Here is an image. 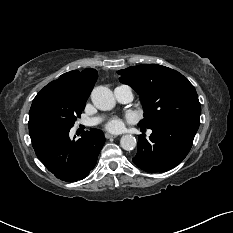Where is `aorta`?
<instances>
[{"label":"aorta","mask_w":233,"mask_h":233,"mask_svg":"<svg viewBox=\"0 0 233 233\" xmlns=\"http://www.w3.org/2000/svg\"><path fill=\"white\" fill-rule=\"evenodd\" d=\"M91 100L96 108L103 111L111 110L115 106L112 91L104 86H97L92 90ZM120 145L124 150L130 151L136 147L137 141L133 135L126 134L121 137Z\"/></svg>","instance_id":"aorta-1"}]
</instances>
